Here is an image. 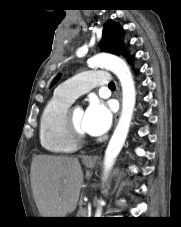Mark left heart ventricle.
Wrapping results in <instances>:
<instances>
[{
  "label": "left heart ventricle",
  "instance_id": "obj_1",
  "mask_svg": "<svg viewBox=\"0 0 181 227\" xmlns=\"http://www.w3.org/2000/svg\"><path fill=\"white\" fill-rule=\"evenodd\" d=\"M83 116H84V112L82 109H80V108L73 109L72 117H73L74 123L81 131L84 132V130L82 128Z\"/></svg>",
  "mask_w": 181,
  "mask_h": 227
}]
</instances>
